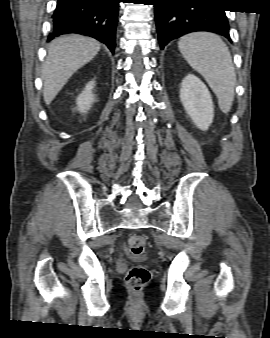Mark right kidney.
<instances>
[{"instance_id": "right-kidney-1", "label": "right kidney", "mask_w": 270, "mask_h": 338, "mask_svg": "<svg viewBox=\"0 0 270 338\" xmlns=\"http://www.w3.org/2000/svg\"><path fill=\"white\" fill-rule=\"evenodd\" d=\"M94 87V81L89 82L84 91L77 98V110L82 113H86L91 107V103L94 101V95L92 89Z\"/></svg>"}]
</instances>
